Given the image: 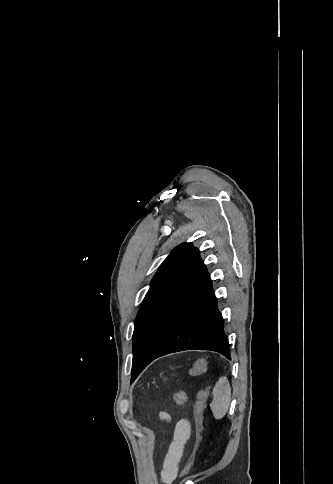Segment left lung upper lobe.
Wrapping results in <instances>:
<instances>
[{
    "mask_svg": "<svg viewBox=\"0 0 333 484\" xmlns=\"http://www.w3.org/2000/svg\"><path fill=\"white\" fill-rule=\"evenodd\" d=\"M198 255L199 251L196 248L192 247L190 243H184L177 246L161 264L151 282L150 289L146 294L136 317L133 333V349L139 337L142 326L144 325L148 315L160 296L172 283L182 267L185 264L193 261ZM142 370L143 368L141 367L132 368L131 381L136 379Z\"/></svg>",
    "mask_w": 333,
    "mask_h": 484,
    "instance_id": "obj_1",
    "label": "left lung upper lobe"
}]
</instances>
